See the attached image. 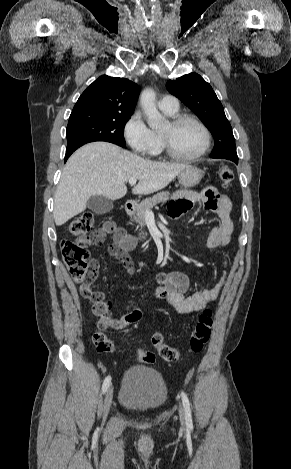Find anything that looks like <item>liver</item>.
<instances>
[{"label": "liver", "mask_w": 291, "mask_h": 469, "mask_svg": "<svg viewBox=\"0 0 291 469\" xmlns=\"http://www.w3.org/2000/svg\"><path fill=\"white\" fill-rule=\"evenodd\" d=\"M187 167L147 160L108 142L86 144L72 154L62 172L54 199L55 224L61 226L83 212L91 196L124 197L131 178L139 181L133 194L147 195L165 188Z\"/></svg>", "instance_id": "obj_1"}]
</instances>
